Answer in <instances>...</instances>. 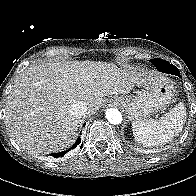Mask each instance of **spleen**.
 <instances>
[{
	"label": "spleen",
	"mask_w": 196,
	"mask_h": 196,
	"mask_svg": "<svg viewBox=\"0 0 196 196\" xmlns=\"http://www.w3.org/2000/svg\"><path fill=\"white\" fill-rule=\"evenodd\" d=\"M186 116V107L180 102L159 119L135 120L132 122L134 138L149 147L168 143L182 131Z\"/></svg>",
	"instance_id": "1"
}]
</instances>
